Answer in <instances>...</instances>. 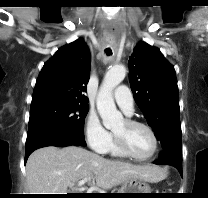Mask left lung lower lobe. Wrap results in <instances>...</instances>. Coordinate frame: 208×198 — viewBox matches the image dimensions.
Returning <instances> with one entry per match:
<instances>
[{
    "label": "left lung lower lobe",
    "mask_w": 208,
    "mask_h": 198,
    "mask_svg": "<svg viewBox=\"0 0 208 198\" xmlns=\"http://www.w3.org/2000/svg\"><path fill=\"white\" fill-rule=\"evenodd\" d=\"M181 161V156H178L171 151H163L161 157L155 162V164H167L174 166L178 169L180 174H182Z\"/></svg>",
    "instance_id": "1"
}]
</instances>
